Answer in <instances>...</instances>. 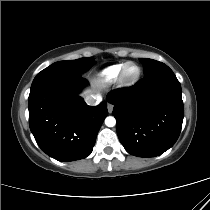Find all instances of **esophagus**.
Here are the masks:
<instances>
[{"label":"esophagus","mask_w":210,"mask_h":210,"mask_svg":"<svg viewBox=\"0 0 210 210\" xmlns=\"http://www.w3.org/2000/svg\"><path fill=\"white\" fill-rule=\"evenodd\" d=\"M113 107H114L113 104H111V103H108V104H107V109H108V112H109V113H112Z\"/></svg>","instance_id":"34e87169"}]
</instances>
